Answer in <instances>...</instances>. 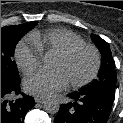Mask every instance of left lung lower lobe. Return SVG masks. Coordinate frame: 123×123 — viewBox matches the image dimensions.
<instances>
[{
    "instance_id": "0a47b994",
    "label": "left lung lower lobe",
    "mask_w": 123,
    "mask_h": 123,
    "mask_svg": "<svg viewBox=\"0 0 123 123\" xmlns=\"http://www.w3.org/2000/svg\"><path fill=\"white\" fill-rule=\"evenodd\" d=\"M72 102L62 104L54 123H106L114 94L81 90L68 94Z\"/></svg>"
}]
</instances>
